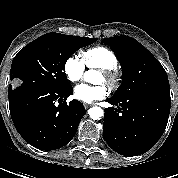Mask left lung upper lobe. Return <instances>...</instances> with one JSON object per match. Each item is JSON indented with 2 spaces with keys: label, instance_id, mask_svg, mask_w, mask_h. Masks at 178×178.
<instances>
[{
  "label": "left lung upper lobe",
  "instance_id": "obj_1",
  "mask_svg": "<svg viewBox=\"0 0 178 178\" xmlns=\"http://www.w3.org/2000/svg\"><path fill=\"white\" fill-rule=\"evenodd\" d=\"M102 42L116 52L123 68L122 83L111 98L146 94L171 102L167 73L142 44L129 36L105 38Z\"/></svg>",
  "mask_w": 178,
  "mask_h": 178
}]
</instances>
